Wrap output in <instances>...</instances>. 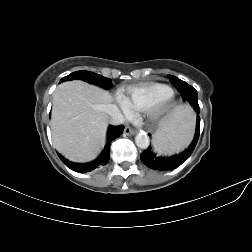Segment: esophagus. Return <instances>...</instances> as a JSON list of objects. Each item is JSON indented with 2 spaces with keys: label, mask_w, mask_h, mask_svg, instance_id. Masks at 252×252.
Instances as JSON below:
<instances>
[{
  "label": "esophagus",
  "mask_w": 252,
  "mask_h": 252,
  "mask_svg": "<svg viewBox=\"0 0 252 252\" xmlns=\"http://www.w3.org/2000/svg\"><path fill=\"white\" fill-rule=\"evenodd\" d=\"M124 133L128 136H132L135 132L130 127H125Z\"/></svg>",
  "instance_id": "obj_1"
}]
</instances>
